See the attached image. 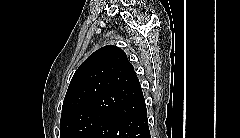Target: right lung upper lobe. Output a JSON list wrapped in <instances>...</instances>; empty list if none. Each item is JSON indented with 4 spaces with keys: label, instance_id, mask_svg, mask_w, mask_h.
I'll return each mask as SVG.
<instances>
[{
    "label": "right lung upper lobe",
    "instance_id": "cb5924a9",
    "mask_svg": "<svg viewBox=\"0 0 240 138\" xmlns=\"http://www.w3.org/2000/svg\"><path fill=\"white\" fill-rule=\"evenodd\" d=\"M140 94L138 77L125 52L107 45L92 53L76 70L61 118L90 110L109 113Z\"/></svg>",
    "mask_w": 240,
    "mask_h": 138
}]
</instances>
